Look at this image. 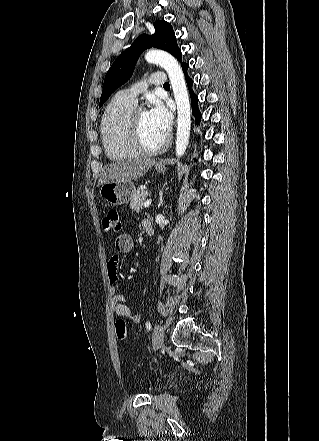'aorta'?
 <instances>
[{
	"mask_svg": "<svg viewBox=\"0 0 319 441\" xmlns=\"http://www.w3.org/2000/svg\"><path fill=\"white\" fill-rule=\"evenodd\" d=\"M148 63L163 67L170 78L172 89L177 103L178 124L176 138V156L182 157L189 143L191 127V110L189 96L184 80L183 71L178 61L168 52L160 49L149 50L145 54Z\"/></svg>",
	"mask_w": 319,
	"mask_h": 441,
	"instance_id": "762f6f07",
	"label": "aorta"
}]
</instances>
